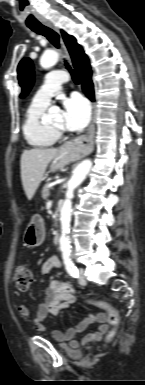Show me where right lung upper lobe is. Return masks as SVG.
Wrapping results in <instances>:
<instances>
[{
  "label": "right lung upper lobe",
  "instance_id": "obj_1",
  "mask_svg": "<svg viewBox=\"0 0 145 385\" xmlns=\"http://www.w3.org/2000/svg\"><path fill=\"white\" fill-rule=\"evenodd\" d=\"M61 33L71 55L75 69L80 70L84 65H88V58L84 54L82 47L76 42V39L64 31H61Z\"/></svg>",
  "mask_w": 145,
  "mask_h": 385
}]
</instances>
